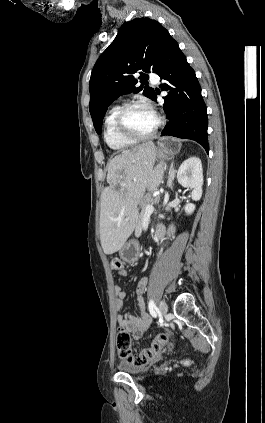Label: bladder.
Here are the masks:
<instances>
[{
    "label": "bladder",
    "mask_w": 265,
    "mask_h": 423,
    "mask_svg": "<svg viewBox=\"0 0 265 423\" xmlns=\"http://www.w3.org/2000/svg\"><path fill=\"white\" fill-rule=\"evenodd\" d=\"M158 357H156L154 360H156ZM119 370H121L124 373L130 374V375H138L140 373H142L143 371L146 370V367H136V368H131L126 366L125 364H120L118 366Z\"/></svg>",
    "instance_id": "bladder-1"
}]
</instances>
